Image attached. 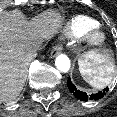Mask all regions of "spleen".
Returning <instances> with one entry per match:
<instances>
[{
	"label": "spleen",
	"instance_id": "spleen-1",
	"mask_svg": "<svg viewBox=\"0 0 117 117\" xmlns=\"http://www.w3.org/2000/svg\"><path fill=\"white\" fill-rule=\"evenodd\" d=\"M78 65L83 79L92 87L102 89L113 79L114 62L106 53L89 51L78 60Z\"/></svg>",
	"mask_w": 117,
	"mask_h": 117
}]
</instances>
